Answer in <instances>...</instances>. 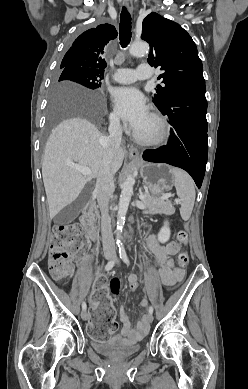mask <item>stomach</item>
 <instances>
[{
  "mask_svg": "<svg viewBox=\"0 0 248 389\" xmlns=\"http://www.w3.org/2000/svg\"><path fill=\"white\" fill-rule=\"evenodd\" d=\"M172 167L160 163H140V174L150 193L159 195L164 190L170 189L174 184Z\"/></svg>",
  "mask_w": 248,
  "mask_h": 389,
  "instance_id": "0dacf381",
  "label": "stomach"
}]
</instances>
